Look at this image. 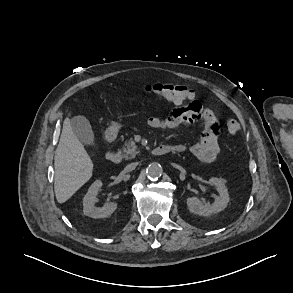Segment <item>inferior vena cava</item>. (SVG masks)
<instances>
[{"label": "inferior vena cava", "mask_w": 293, "mask_h": 293, "mask_svg": "<svg viewBox=\"0 0 293 293\" xmlns=\"http://www.w3.org/2000/svg\"><path fill=\"white\" fill-rule=\"evenodd\" d=\"M138 163H130L125 167V171L130 172L136 168Z\"/></svg>", "instance_id": "obj_1"}]
</instances>
